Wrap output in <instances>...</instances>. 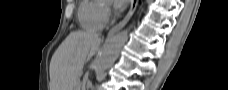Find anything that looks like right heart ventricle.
Wrapping results in <instances>:
<instances>
[{"label": "right heart ventricle", "mask_w": 228, "mask_h": 90, "mask_svg": "<svg viewBox=\"0 0 228 90\" xmlns=\"http://www.w3.org/2000/svg\"><path fill=\"white\" fill-rule=\"evenodd\" d=\"M102 2L99 0H84L78 11L81 26L88 30H101L105 22L100 17Z\"/></svg>", "instance_id": "right-heart-ventricle-1"}]
</instances>
